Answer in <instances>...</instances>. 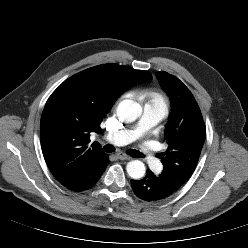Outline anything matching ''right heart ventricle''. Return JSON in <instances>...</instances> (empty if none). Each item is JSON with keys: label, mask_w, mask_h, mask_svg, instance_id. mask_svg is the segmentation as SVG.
Masks as SVG:
<instances>
[{"label": "right heart ventricle", "mask_w": 248, "mask_h": 248, "mask_svg": "<svg viewBox=\"0 0 248 248\" xmlns=\"http://www.w3.org/2000/svg\"><path fill=\"white\" fill-rule=\"evenodd\" d=\"M139 96L146 101V105H155L168 109V102L166 98L156 90L142 91Z\"/></svg>", "instance_id": "e07e8e85"}]
</instances>
